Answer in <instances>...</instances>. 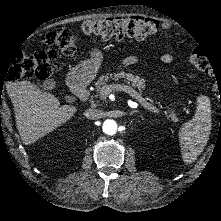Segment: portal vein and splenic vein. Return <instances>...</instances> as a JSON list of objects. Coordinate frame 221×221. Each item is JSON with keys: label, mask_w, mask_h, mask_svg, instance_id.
Instances as JSON below:
<instances>
[{"label": "portal vein and splenic vein", "mask_w": 221, "mask_h": 221, "mask_svg": "<svg viewBox=\"0 0 221 221\" xmlns=\"http://www.w3.org/2000/svg\"><path fill=\"white\" fill-rule=\"evenodd\" d=\"M125 91L128 95H131L133 99L137 103H142L146 109L152 111L156 115H163V110L157 108L155 105L150 104L147 100H143V96L141 93H139L136 89H134L130 84H111V85H106L105 89L101 90V97L102 98H107L108 97V92L111 91Z\"/></svg>", "instance_id": "portal-vein-and-splenic-vein-1"}]
</instances>
